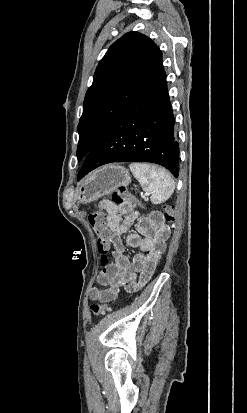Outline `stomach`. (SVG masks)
<instances>
[{
	"instance_id": "obj_1",
	"label": "stomach",
	"mask_w": 247,
	"mask_h": 413,
	"mask_svg": "<svg viewBox=\"0 0 247 413\" xmlns=\"http://www.w3.org/2000/svg\"><path fill=\"white\" fill-rule=\"evenodd\" d=\"M131 176L128 168L121 164H104L89 172L77 184V202L87 204L92 200H97L100 196L111 194L120 186H128Z\"/></svg>"
}]
</instances>
